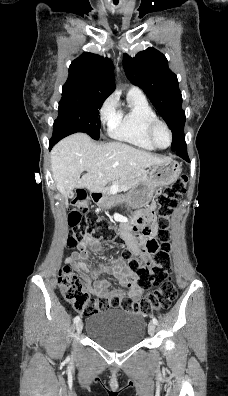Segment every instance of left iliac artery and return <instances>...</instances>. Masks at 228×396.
<instances>
[{"instance_id": "obj_1", "label": "left iliac artery", "mask_w": 228, "mask_h": 396, "mask_svg": "<svg viewBox=\"0 0 228 396\" xmlns=\"http://www.w3.org/2000/svg\"><path fill=\"white\" fill-rule=\"evenodd\" d=\"M152 321H153V323H154L155 325L158 324V321H157V319H156L155 317H153Z\"/></svg>"}]
</instances>
